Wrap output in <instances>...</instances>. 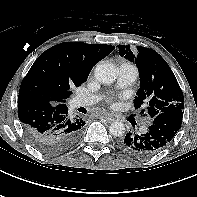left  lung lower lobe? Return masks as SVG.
Returning <instances> with one entry per match:
<instances>
[{
	"mask_svg": "<svg viewBox=\"0 0 197 197\" xmlns=\"http://www.w3.org/2000/svg\"><path fill=\"white\" fill-rule=\"evenodd\" d=\"M182 110L160 113L144 134L129 132L119 141V147L134 157L145 158L165 148L181 127Z\"/></svg>",
	"mask_w": 197,
	"mask_h": 197,
	"instance_id": "obj_1",
	"label": "left lung lower lobe"
}]
</instances>
